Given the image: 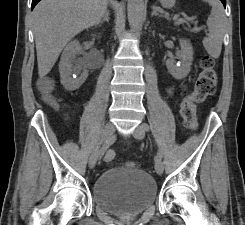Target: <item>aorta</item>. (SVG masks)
<instances>
[{"mask_svg":"<svg viewBox=\"0 0 245 225\" xmlns=\"http://www.w3.org/2000/svg\"><path fill=\"white\" fill-rule=\"evenodd\" d=\"M144 0H128L127 13L130 27L139 31L143 20Z\"/></svg>","mask_w":245,"mask_h":225,"instance_id":"762f6f07","label":"aorta"}]
</instances>
